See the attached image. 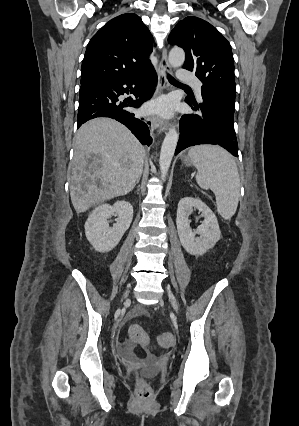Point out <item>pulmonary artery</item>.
I'll return each instance as SVG.
<instances>
[{"mask_svg": "<svg viewBox=\"0 0 299 426\" xmlns=\"http://www.w3.org/2000/svg\"><path fill=\"white\" fill-rule=\"evenodd\" d=\"M179 78L183 81L189 82L193 86L196 94L201 96L202 84L195 76L188 74L185 72V70L181 69L179 70Z\"/></svg>", "mask_w": 299, "mask_h": 426, "instance_id": "1", "label": "pulmonary artery"}]
</instances>
